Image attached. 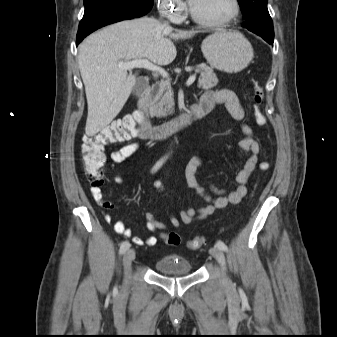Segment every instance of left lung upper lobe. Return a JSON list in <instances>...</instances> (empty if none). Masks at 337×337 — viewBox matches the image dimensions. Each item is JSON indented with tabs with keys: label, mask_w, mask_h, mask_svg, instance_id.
Segmentation results:
<instances>
[{
	"label": "left lung upper lobe",
	"mask_w": 337,
	"mask_h": 337,
	"mask_svg": "<svg viewBox=\"0 0 337 337\" xmlns=\"http://www.w3.org/2000/svg\"><path fill=\"white\" fill-rule=\"evenodd\" d=\"M268 0H238L243 12L241 26L260 27L273 31V22L267 9Z\"/></svg>",
	"instance_id": "left-lung-upper-lobe-1"
}]
</instances>
